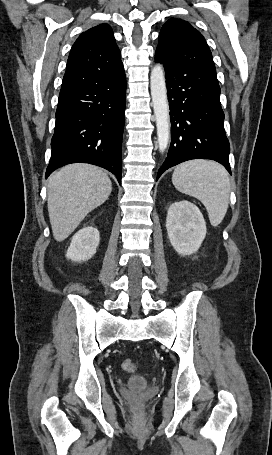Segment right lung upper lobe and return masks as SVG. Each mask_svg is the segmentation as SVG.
I'll return each mask as SVG.
<instances>
[{
    "instance_id": "obj_1",
    "label": "right lung upper lobe",
    "mask_w": 272,
    "mask_h": 455,
    "mask_svg": "<svg viewBox=\"0 0 272 455\" xmlns=\"http://www.w3.org/2000/svg\"><path fill=\"white\" fill-rule=\"evenodd\" d=\"M120 55L108 24L83 32L69 54L60 94L123 74Z\"/></svg>"
}]
</instances>
